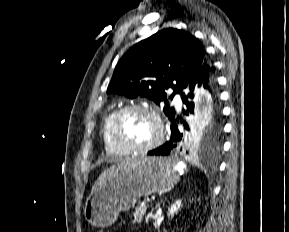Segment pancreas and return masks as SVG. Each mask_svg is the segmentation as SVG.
<instances>
[{"mask_svg":"<svg viewBox=\"0 0 289 232\" xmlns=\"http://www.w3.org/2000/svg\"><path fill=\"white\" fill-rule=\"evenodd\" d=\"M146 210H147V204L139 203V205L135 208L134 222L140 223L146 213Z\"/></svg>","mask_w":289,"mask_h":232,"instance_id":"pancreas-1","label":"pancreas"}]
</instances>
